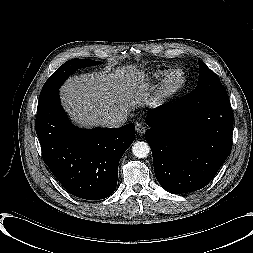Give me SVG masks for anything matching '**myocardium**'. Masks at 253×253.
Returning a JSON list of instances; mask_svg holds the SVG:
<instances>
[{
	"label": "myocardium",
	"instance_id": "myocardium-1",
	"mask_svg": "<svg viewBox=\"0 0 253 253\" xmlns=\"http://www.w3.org/2000/svg\"><path fill=\"white\" fill-rule=\"evenodd\" d=\"M174 76H178L180 81L176 85H171V79ZM186 85V78L181 69H173L169 71L165 77L162 79L160 84V94L164 99L172 98L178 93H180Z\"/></svg>",
	"mask_w": 253,
	"mask_h": 253
}]
</instances>
